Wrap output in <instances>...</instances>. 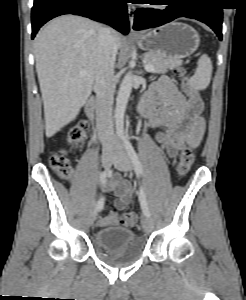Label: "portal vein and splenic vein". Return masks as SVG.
<instances>
[{
  "label": "portal vein and splenic vein",
  "instance_id": "18ae733b",
  "mask_svg": "<svg viewBox=\"0 0 246 300\" xmlns=\"http://www.w3.org/2000/svg\"><path fill=\"white\" fill-rule=\"evenodd\" d=\"M145 70L148 72L156 73L155 68L152 65L145 64ZM86 72H81V75H85Z\"/></svg>",
  "mask_w": 246,
  "mask_h": 300
}]
</instances>
